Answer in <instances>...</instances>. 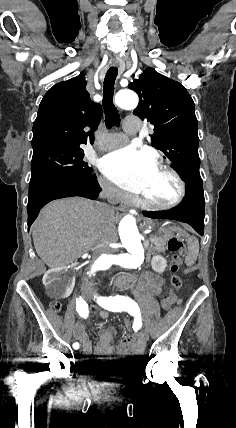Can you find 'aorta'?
Returning <instances> with one entry per match:
<instances>
[{"label": "aorta", "instance_id": "obj_1", "mask_svg": "<svg viewBox=\"0 0 236 428\" xmlns=\"http://www.w3.org/2000/svg\"><path fill=\"white\" fill-rule=\"evenodd\" d=\"M138 96L132 90H121L115 96L116 104L123 109H134L138 105ZM135 211H130L119 223V236L125 253L104 254L96 261H93L88 267L83 279V286H88L94 277L111 268L113 265H119L123 268L136 269L141 266L145 258V248L141 242L142 236L138 231Z\"/></svg>", "mask_w": 236, "mask_h": 428}]
</instances>
